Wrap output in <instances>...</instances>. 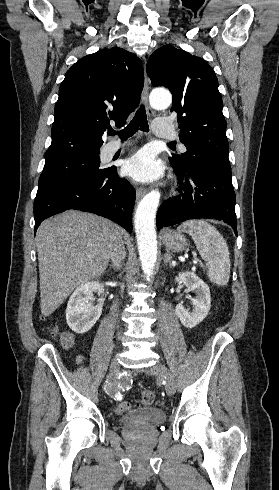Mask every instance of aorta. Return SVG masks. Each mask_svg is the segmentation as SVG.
<instances>
[{"label":"aorta","mask_w":279,"mask_h":490,"mask_svg":"<svg viewBox=\"0 0 279 490\" xmlns=\"http://www.w3.org/2000/svg\"><path fill=\"white\" fill-rule=\"evenodd\" d=\"M151 106L155 109H166L172 103V97L165 90L153 91L150 95ZM160 201V192L152 190L139 202L135 213V232L139 257L143 272L147 277L157 260V236L155 216Z\"/></svg>","instance_id":"1"}]
</instances>
